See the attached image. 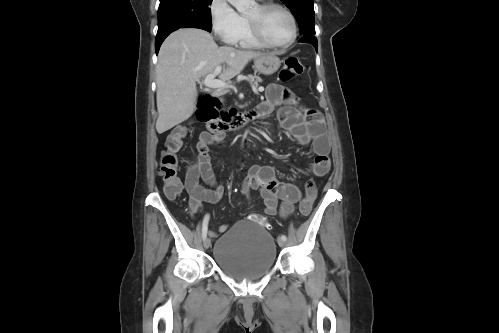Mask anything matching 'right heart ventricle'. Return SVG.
Returning a JSON list of instances; mask_svg holds the SVG:
<instances>
[{"label":"right heart ventricle","mask_w":499,"mask_h":333,"mask_svg":"<svg viewBox=\"0 0 499 333\" xmlns=\"http://www.w3.org/2000/svg\"><path fill=\"white\" fill-rule=\"evenodd\" d=\"M234 44H237V45L244 47V48H251V49H261V48L265 47L253 37V35L251 34V31H250L249 25H248L246 20H245L244 27H243L239 37L237 38V40Z\"/></svg>","instance_id":"1"}]
</instances>
